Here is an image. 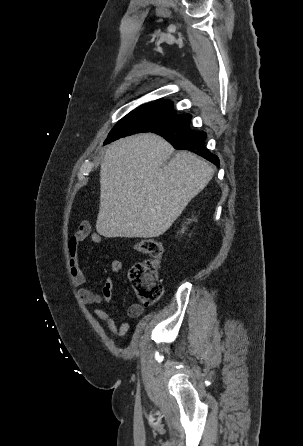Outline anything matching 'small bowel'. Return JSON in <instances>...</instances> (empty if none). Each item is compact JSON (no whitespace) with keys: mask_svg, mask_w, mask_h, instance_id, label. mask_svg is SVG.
<instances>
[{"mask_svg":"<svg viewBox=\"0 0 303 446\" xmlns=\"http://www.w3.org/2000/svg\"><path fill=\"white\" fill-rule=\"evenodd\" d=\"M90 238L93 243L99 244L102 242V237L99 233L92 231L91 225L88 222H81L77 231L69 241V268L72 278V283L76 287L88 285L92 282V278L88 277L82 270L79 262V247L83 240ZM111 270L113 273H120L123 270V263L115 260L111 263ZM114 281L108 277L104 281L102 291L95 292L87 287L79 289V297L84 304H102L110 303L113 297ZM93 315L107 323L108 331L111 335L119 338H125L129 332V324L122 321L119 324L116 320L105 310L96 308L92 311ZM144 313V307L140 304H131L127 309V316L129 318H138Z\"/></svg>","mask_w":303,"mask_h":446,"instance_id":"obj_1","label":"small bowel"}]
</instances>
